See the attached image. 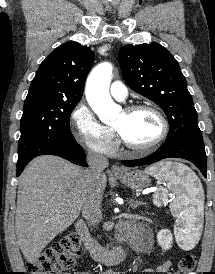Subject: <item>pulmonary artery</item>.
<instances>
[{"label":"pulmonary artery","instance_id":"obj_1","mask_svg":"<svg viewBox=\"0 0 215 274\" xmlns=\"http://www.w3.org/2000/svg\"><path fill=\"white\" fill-rule=\"evenodd\" d=\"M110 94L118 101H124L128 91L126 86L120 81H114L110 86Z\"/></svg>","mask_w":215,"mask_h":274}]
</instances>
